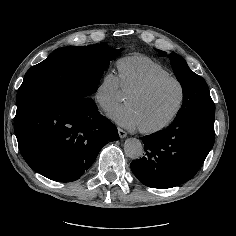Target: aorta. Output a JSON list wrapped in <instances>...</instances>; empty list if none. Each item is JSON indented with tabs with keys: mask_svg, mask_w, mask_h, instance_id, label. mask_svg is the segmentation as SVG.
Listing matches in <instances>:
<instances>
[{
	"mask_svg": "<svg viewBox=\"0 0 236 236\" xmlns=\"http://www.w3.org/2000/svg\"><path fill=\"white\" fill-rule=\"evenodd\" d=\"M124 153L127 157L138 159L143 154V145L139 139L128 138L124 143Z\"/></svg>",
	"mask_w": 236,
	"mask_h": 236,
	"instance_id": "aorta-1",
	"label": "aorta"
}]
</instances>
